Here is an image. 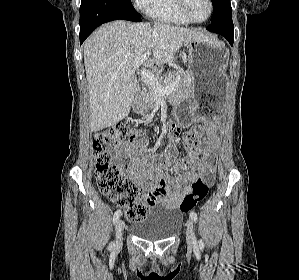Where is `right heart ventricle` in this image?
Listing matches in <instances>:
<instances>
[{
  "label": "right heart ventricle",
  "instance_id": "obj_1",
  "mask_svg": "<svg viewBox=\"0 0 299 280\" xmlns=\"http://www.w3.org/2000/svg\"><path fill=\"white\" fill-rule=\"evenodd\" d=\"M147 14L153 19L176 25H189V22L178 10L176 0H151Z\"/></svg>",
  "mask_w": 299,
  "mask_h": 280
}]
</instances>
